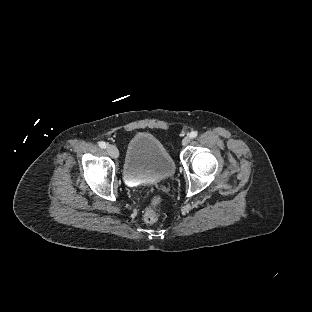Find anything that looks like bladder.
I'll list each match as a JSON object with an SVG mask.
<instances>
[{
  "mask_svg": "<svg viewBox=\"0 0 312 312\" xmlns=\"http://www.w3.org/2000/svg\"><path fill=\"white\" fill-rule=\"evenodd\" d=\"M174 169L171 153L154 135L139 133L129 141L124 159L127 178L165 180L173 175Z\"/></svg>",
  "mask_w": 312,
  "mask_h": 312,
  "instance_id": "1",
  "label": "bladder"
}]
</instances>
